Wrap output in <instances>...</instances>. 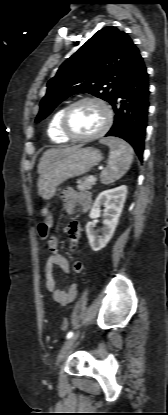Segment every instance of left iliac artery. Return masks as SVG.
Here are the masks:
<instances>
[{
    "instance_id": "1",
    "label": "left iliac artery",
    "mask_w": 168,
    "mask_h": 415,
    "mask_svg": "<svg viewBox=\"0 0 168 415\" xmlns=\"http://www.w3.org/2000/svg\"><path fill=\"white\" fill-rule=\"evenodd\" d=\"M73 335V331L68 332L66 338L69 339Z\"/></svg>"
}]
</instances>
